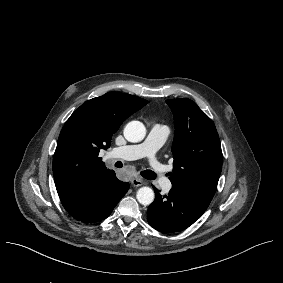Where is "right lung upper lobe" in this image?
<instances>
[{
    "mask_svg": "<svg viewBox=\"0 0 283 283\" xmlns=\"http://www.w3.org/2000/svg\"><path fill=\"white\" fill-rule=\"evenodd\" d=\"M147 103L137 96L109 92L74 111L62 128L53 157L61 201L79 196L107 174L99 151L109 148L123 121Z\"/></svg>",
    "mask_w": 283,
    "mask_h": 283,
    "instance_id": "right-lung-upper-lobe-1",
    "label": "right lung upper lobe"
}]
</instances>
